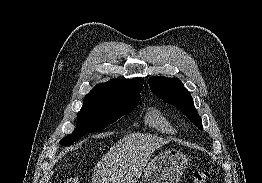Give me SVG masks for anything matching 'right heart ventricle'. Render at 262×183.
Masks as SVG:
<instances>
[{
  "label": "right heart ventricle",
  "instance_id": "obj_1",
  "mask_svg": "<svg viewBox=\"0 0 262 183\" xmlns=\"http://www.w3.org/2000/svg\"><path fill=\"white\" fill-rule=\"evenodd\" d=\"M145 122L152 128L166 134H172L175 129L168 118L157 108H150L146 114Z\"/></svg>",
  "mask_w": 262,
  "mask_h": 183
}]
</instances>
